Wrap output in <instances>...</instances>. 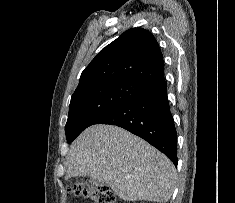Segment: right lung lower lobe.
I'll list each match as a JSON object with an SVG mask.
<instances>
[{"label": "right lung lower lobe", "instance_id": "98d812e1", "mask_svg": "<svg viewBox=\"0 0 235 203\" xmlns=\"http://www.w3.org/2000/svg\"><path fill=\"white\" fill-rule=\"evenodd\" d=\"M95 124L122 127L163 152L177 166V134L165 78L99 118Z\"/></svg>", "mask_w": 235, "mask_h": 203}]
</instances>
